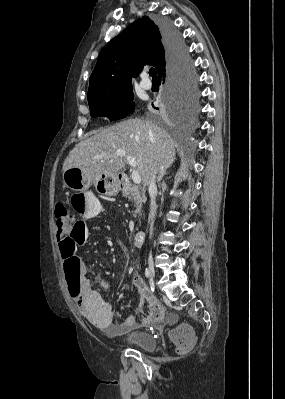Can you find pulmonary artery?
Returning a JSON list of instances; mask_svg holds the SVG:
<instances>
[{"instance_id":"pulmonary-artery-1","label":"pulmonary artery","mask_w":285,"mask_h":399,"mask_svg":"<svg viewBox=\"0 0 285 399\" xmlns=\"http://www.w3.org/2000/svg\"><path fill=\"white\" fill-rule=\"evenodd\" d=\"M140 86L145 89L149 90L152 86L151 81L145 76L141 81H140Z\"/></svg>"}]
</instances>
